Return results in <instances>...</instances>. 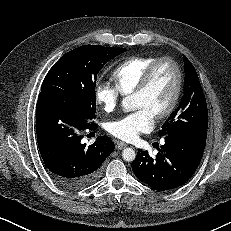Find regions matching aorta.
<instances>
[{"instance_id":"1","label":"aorta","mask_w":231,"mask_h":231,"mask_svg":"<svg viewBox=\"0 0 231 231\" xmlns=\"http://www.w3.org/2000/svg\"><path fill=\"white\" fill-rule=\"evenodd\" d=\"M122 106L126 111H131L135 109V106L132 102V98L130 96H126L122 100ZM135 157H136V153L131 148H126L122 151V158L127 162L133 161Z\"/></svg>"}]
</instances>
